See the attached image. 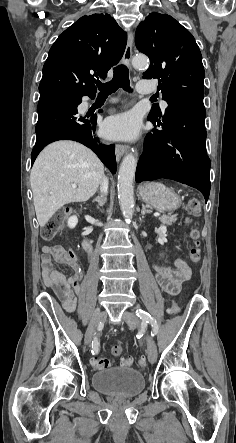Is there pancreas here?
<instances>
[{
	"mask_svg": "<svg viewBox=\"0 0 236 443\" xmlns=\"http://www.w3.org/2000/svg\"><path fill=\"white\" fill-rule=\"evenodd\" d=\"M159 220L163 225L171 226L177 221V215H163Z\"/></svg>",
	"mask_w": 236,
	"mask_h": 443,
	"instance_id": "pancreas-1",
	"label": "pancreas"
}]
</instances>
